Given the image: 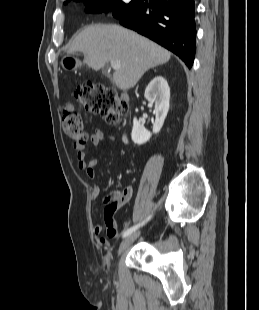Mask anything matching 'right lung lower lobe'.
<instances>
[{"mask_svg": "<svg viewBox=\"0 0 259 310\" xmlns=\"http://www.w3.org/2000/svg\"><path fill=\"white\" fill-rule=\"evenodd\" d=\"M194 14V0L138 1L119 21L172 51L191 68L196 40Z\"/></svg>", "mask_w": 259, "mask_h": 310, "instance_id": "98d812e1", "label": "right lung lower lobe"}]
</instances>
